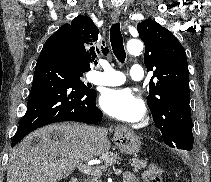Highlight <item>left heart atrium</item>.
Returning <instances> with one entry per match:
<instances>
[{"instance_id": "left-heart-atrium-1", "label": "left heart atrium", "mask_w": 211, "mask_h": 182, "mask_svg": "<svg viewBox=\"0 0 211 182\" xmlns=\"http://www.w3.org/2000/svg\"><path fill=\"white\" fill-rule=\"evenodd\" d=\"M101 108L111 117L137 122L144 115V104L129 89H107L100 96Z\"/></svg>"}]
</instances>
